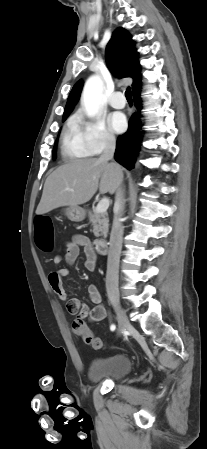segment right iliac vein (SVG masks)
I'll use <instances>...</instances> for the list:
<instances>
[{"instance_id": "obj_1", "label": "right iliac vein", "mask_w": 207, "mask_h": 449, "mask_svg": "<svg viewBox=\"0 0 207 449\" xmlns=\"http://www.w3.org/2000/svg\"><path fill=\"white\" fill-rule=\"evenodd\" d=\"M111 303L117 313L118 317V331L122 333L124 330L131 328L128 317L126 316L124 310L122 309L119 301L115 298H111Z\"/></svg>"}]
</instances>
